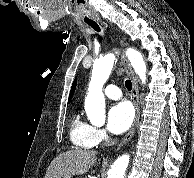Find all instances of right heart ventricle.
Instances as JSON below:
<instances>
[{"label":"right heart ventricle","mask_w":194,"mask_h":178,"mask_svg":"<svg viewBox=\"0 0 194 178\" xmlns=\"http://www.w3.org/2000/svg\"><path fill=\"white\" fill-rule=\"evenodd\" d=\"M92 126L84 121L79 113H75L70 123V140L76 146L80 148H92L94 143L92 142Z\"/></svg>","instance_id":"e07e8e85"}]
</instances>
